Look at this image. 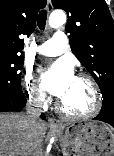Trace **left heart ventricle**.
Here are the masks:
<instances>
[{
  "mask_svg": "<svg viewBox=\"0 0 114 156\" xmlns=\"http://www.w3.org/2000/svg\"><path fill=\"white\" fill-rule=\"evenodd\" d=\"M60 101L70 113H86L92 108L94 102L92 88L87 81L75 77Z\"/></svg>",
  "mask_w": 114,
  "mask_h": 156,
  "instance_id": "left-heart-ventricle-1",
  "label": "left heart ventricle"
}]
</instances>
